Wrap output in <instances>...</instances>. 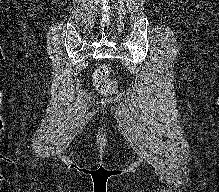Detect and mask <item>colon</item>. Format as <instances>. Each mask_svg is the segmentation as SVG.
Wrapping results in <instances>:
<instances>
[{
    "mask_svg": "<svg viewBox=\"0 0 219 192\" xmlns=\"http://www.w3.org/2000/svg\"><path fill=\"white\" fill-rule=\"evenodd\" d=\"M110 73L111 67L102 65L96 69L93 76L96 89L103 95H115L119 91L117 82L109 78Z\"/></svg>",
    "mask_w": 219,
    "mask_h": 192,
    "instance_id": "obj_1",
    "label": "colon"
}]
</instances>
